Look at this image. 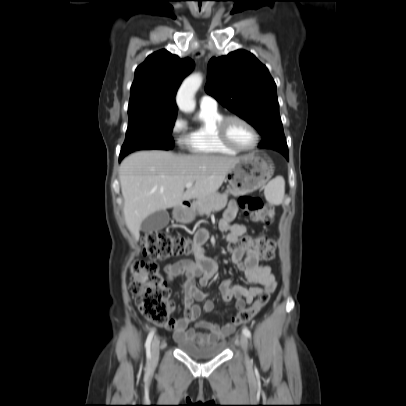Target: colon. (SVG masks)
<instances>
[{
  "label": "colon",
  "mask_w": 406,
  "mask_h": 406,
  "mask_svg": "<svg viewBox=\"0 0 406 406\" xmlns=\"http://www.w3.org/2000/svg\"><path fill=\"white\" fill-rule=\"evenodd\" d=\"M239 206L243 216L256 223L269 224L274 219V209L264 204L259 197L242 196ZM142 248L149 261H136L132 265L128 286L141 314L152 323L164 327L171 322V304L168 301L170 291L155 261L187 256L195 252V246L186 237L154 231L143 236ZM237 249L250 250L261 259L270 260L274 254V242L265 236H245L230 251ZM270 295L269 290L260 292L251 306L238 312L232 324L248 323L269 302Z\"/></svg>",
  "instance_id": "obj_1"
}]
</instances>
